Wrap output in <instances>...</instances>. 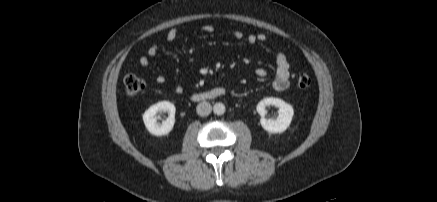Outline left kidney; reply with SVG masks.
I'll return each mask as SVG.
<instances>
[{"instance_id": "left-kidney-1", "label": "left kidney", "mask_w": 437, "mask_h": 202, "mask_svg": "<svg viewBox=\"0 0 437 202\" xmlns=\"http://www.w3.org/2000/svg\"><path fill=\"white\" fill-rule=\"evenodd\" d=\"M275 106L278 108V117L266 119L264 116L267 113L266 107ZM257 112L262 117L260 120L261 126L269 133H282L290 125L294 115L293 107L279 98H264L257 105Z\"/></svg>"}]
</instances>
